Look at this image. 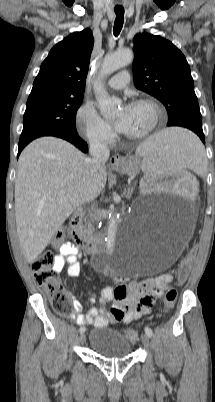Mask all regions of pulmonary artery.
Instances as JSON below:
<instances>
[{"instance_id":"e3ab8cb5","label":"pulmonary artery","mask_w":215,"mask_h":402,"mask_svg":"<svg viewBox=\"0 0 215 402\" xmlns=\"http://www.w3.org/2000/svg\"><path fill=\"white\" fill-rule=\"evenodd\" d=\"M130 75L127 71H121L111 77L108 81V86L113 89H121L129 82Z\"/></svg>"}]
</instances>
